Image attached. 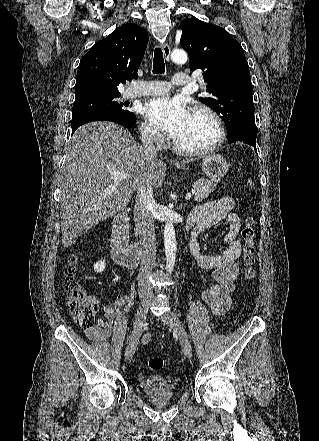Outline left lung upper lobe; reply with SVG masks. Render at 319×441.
Here are the masks:
<instances>
[{
    "label": "left lung upper lobe",
    "instance_id": "1",
    "mask_svg": "<svg viewBox=\"0 0 319 441\" xmlns=\"http://www.w3.org/2000/svg\"><path fill=\"white\" fill-rule=\"evenodd\" d=\"M180 44L189 54L190 69H201L209 97L200 101L223 119L227 137L257 135L252 83L241 44L223 28L193 17L181 22Z\"/></svg>",
    "mask_w": 319,
    "mask_h": 441
}]
</instances>
